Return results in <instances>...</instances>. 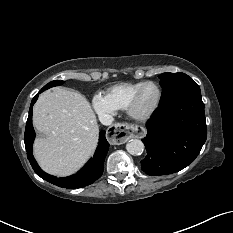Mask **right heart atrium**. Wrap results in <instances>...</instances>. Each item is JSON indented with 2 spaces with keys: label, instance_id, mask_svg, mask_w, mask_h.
Masks as SVG:
<instances>
[{
  "label": "right heart atrium",
  "instance_id": "d8ad5b80",
  "mask_svg": "<svg viewBox=\"0 0 233 233\" xmlns=\"http://www.w3.org/2000/svg\"><path fill=\"white\" fill-rule=\"evenodd\" d=\"M92 106L101 119H107L117 111L116 107L108 100L106 95L96 93L92 98Z\"/></svg>",
  "mask_w": 233,
  "mask_h": 233
}]
</instances>
